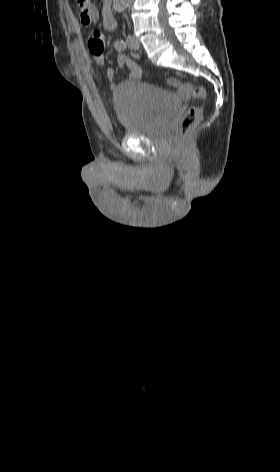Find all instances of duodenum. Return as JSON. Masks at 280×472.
<instances>
[{
    "instance_id": "410a0bca",
    "label": "duodenum",
    "mask_w": 280,
    "mask_h": 472,
    "mask_svg": "<svg viewBox=\"0 0 280 472\" xmlns=\"http://www.w3.org/2000/svg\"><path fill=\"white\" fill-rule=\"evenodd\" d=\"M103 24L105 29L113 31L116 29L117 22L112 13L110 5H107L103 12Z\"/></svg>"
}]
</instances>
